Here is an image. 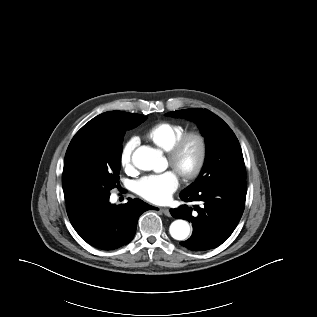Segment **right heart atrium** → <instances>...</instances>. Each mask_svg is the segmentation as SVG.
Listing matches in <instances>:
<instances>
[{"instance_id": "right-heart-atrium-1", "label": "right heart atrium", "mask_w": 317, "mask_h": 317, "mask_svg": "<svg viewBox=\"0 0 317 317\" xmlns=\"http://www.w3.org/2000/svg\"><path fill=\"white\" fill-rule=\"evenodd\" d=\"M137 145H138V139L132 136L122 146L119 160H120V165L127 172H130L133 170V167H134L133 154Z\"/></svg>"}]
</instances>
